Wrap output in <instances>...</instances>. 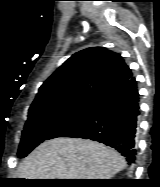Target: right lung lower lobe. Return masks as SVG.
I'll return each mask as SVG.
<instances>
[{"label":"right lung lower lobe","instance_id":"1","mask_svg":"<svg viewBox=\"0 0 160 187\" xmlns=\"http://www.w3.org/2000/svg\"><path fill=\"white\" fill-rule=\"evenodd\" d=\"M139 109L137 81L131 76L100 98L88 115L58 137L98 141L118 150L132 165L137 154Z\"/></svg>","mask_w":160,"mask_h":187}]
</instances>
